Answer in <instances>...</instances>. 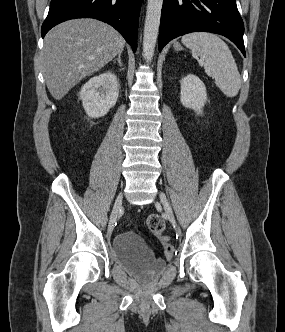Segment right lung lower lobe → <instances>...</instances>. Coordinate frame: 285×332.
I'll return each mask as SVG.
<instances>
[{"mask_svg":"<svg viewBox=\"0 0 285 332\" xmlns=\"http://www.w3.org/2000/svg\"><path fill=\"white\" fill-rule=\"evenodd\" d=\"M140 7L141 0H51L41 35L69 19L95 18L119 31L135 52Z\"/></svg>","mask_w":285,"mask_h":332,"instance_id":"obj_1","label":"right lung lower lobe"}]
</instances>
